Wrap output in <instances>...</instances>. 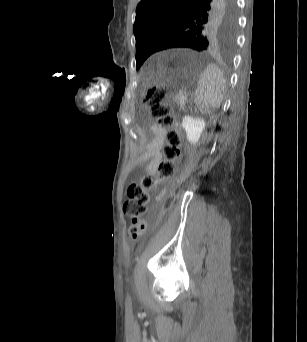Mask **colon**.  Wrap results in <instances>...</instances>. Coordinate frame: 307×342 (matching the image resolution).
<instances>
[{"label":"colon","instance_id":"obj_1","mask_svg":"<svg viewBox=\"0 0 307 342\" xmlns=\"http://www.w3.org/2000/svg\"><path fill=\"white\" fill-rule=\"evenodd\" d=\"M167 94L168 87L151 86L145 95V103L151 117L159 125L168 128V131L163 156L155 168V174H144L138 182L128 187L123 209L131 219L129 236L134 240L141 237L147 229L143 216L147 212L149 192L157 187L159 181L174 177L175 161L180 156L181 134L180 130L174 126L173 115L167 106Z\"/></svg>","mask_w":307,"mask_h":342}]
</instances>
